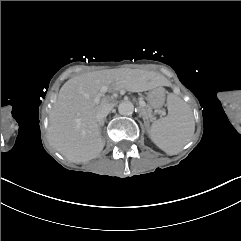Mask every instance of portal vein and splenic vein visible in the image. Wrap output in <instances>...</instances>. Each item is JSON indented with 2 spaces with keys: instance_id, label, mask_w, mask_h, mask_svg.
<instances>
[{
  "instance_id": "obj_1",
  "label": "portal vein and splenic vein",
  "mask_w": 241,
  "mask_h": 241,
  "mask_svg": "<svg viewBox=\"0 0 241 241\" xmlns=\"http://www.w3.org/2000/svg\"><path fill=\"white\" fill-rule=\"evenodd\" d=\"M142 107H147V102H142Z\"/></svg>"
}]
</instances>
